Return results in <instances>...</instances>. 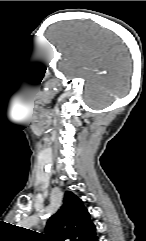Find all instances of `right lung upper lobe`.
I'll list each match as a JSON object with an SVG mask.
<instances>
[{"label": "right lung upper lobe", "instance_id": "cb5924a9", "mask_svg": "<svg viewBox=\"0 0 146 241\" xmlns=\"http://www.w3.org/2000/svg\"><path fill=\"white\" fill-rule=\"evenodd\" d=\"M47 241H96V228L82 200L66 191L61 208L47 221Z\"/></svg>", "mask_w": 146, "mask_h": 241}]
</instances>
